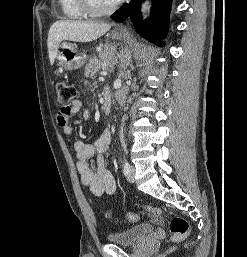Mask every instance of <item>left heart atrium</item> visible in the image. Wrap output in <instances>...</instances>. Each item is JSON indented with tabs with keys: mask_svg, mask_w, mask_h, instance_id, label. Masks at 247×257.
Masks as SVG:
<instances>
[{
	"mask_svg": "<svg viewBox=\"0 0 247 257\" xmlns=\"http://www.w3.org/2000/svg\"><path fill=\"white\" fill-rule=\"evenodd\" d=\"M115 1H119V2H120V1H122V0H115Z\"/></svg>",
	"mask_w": 247,
	"mask_h": 257,
	"instance_id": "39dd6f15",
	"label": "left heart atrium"
}]
</instances>
